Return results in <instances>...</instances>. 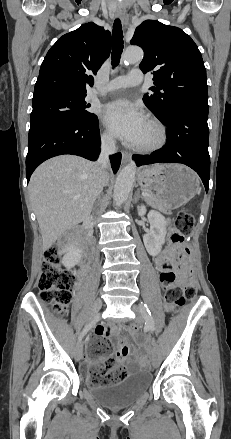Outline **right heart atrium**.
I'll list each match as a JSON object with an SVG mask.
<instances>
[{
    "instance_id": "right-heart-atrium-1",
    "label": "right heart atrium",
    "mask_w": 231,
    "mask_h": 439,
    "mask_svg": "<svg viewBox=\"0 0 231 439\" xmlns=\"http://www.w3.org/2000/svg\"><path fill=\"white\" fill-rule=\"evenodd\" d=\"M101 140L104 145L111 146L114 143L112 134L108 130H104L101 133Z\"/></svg>"
}]
</instances>
